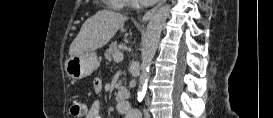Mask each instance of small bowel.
<instances>
[{"instance_id": "c3829d8e", "label": "small bowel", "mask_w": 273, "mask_h": 118, "mask_svg": "<svg viewBox=\"0 0 273 118\" xmlns=\"http://www.w3.org/2000/svg\"><path fill=\"white\" fill-rule=\"evenodd\" d=\"M93 88L96 93L101 92V90H102L101 81L98 79L94 80ZM119 109L121 111H124V108L122 106H120ZM86 118H100V103L97 100H95L91 103V105L87 111Z\"/></svg>"}]
</instances>
